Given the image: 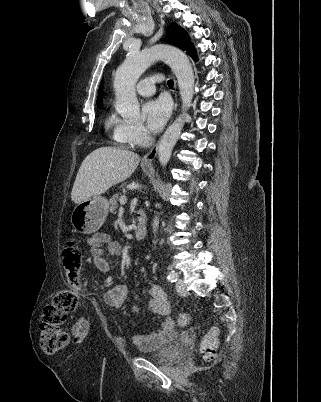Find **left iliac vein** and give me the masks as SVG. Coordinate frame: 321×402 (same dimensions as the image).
I'll list each match as a JSON object with an SVG mask.
<instances>
[{
	"label": "left iliac vein",
	"mask_w": 321,
	"mask_h": 402,
	"mask_svg": "<svg viewBox=\"0 0 321 402\" xmlns=\"http://www.w3.org/2000/svg\"><path fill=\"white\" fill-rule=\"evenodd\" d=\"M176 290H177V292L180 294V295H182V296H186L187 294H188V290H187V287H186V285L184 284V282L181 280V279H179L177 282H176Z\"/></svg>",
	"instance_id": "4c4485c4"
}]
</instances>
